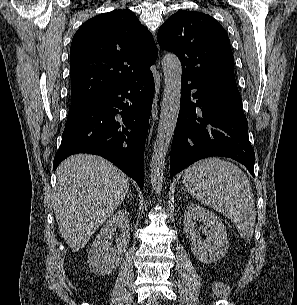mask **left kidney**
Masks as SVG:
<instances>
[{"label":"left kidney","mask_w":297,"mask_h":305,"mask_svg":"<svg viewBox=\"0 0 297 305\" xmlns=\"http://www.w3.org/2000/svg\"><path fill=\"white\" fill-rule=\"evenodd\" d=\"M198 222H203L205 226L207 237L204 240L201 239ZM184 230L190 241L191 250L199 261L210 264L226 254L228 250L226 228L209 210L190 203L184 213Z\"/></svg>","instance_id":"obj_1"}]
</instances>
